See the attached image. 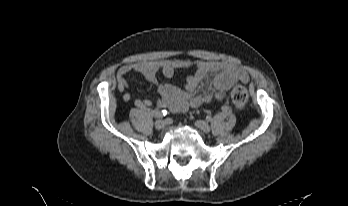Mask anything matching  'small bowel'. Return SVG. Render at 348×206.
Masks as SVG:
<instances>
[{"mask_svg": "<svg viewBox=\"0 0 348 206\" xmlns=\"http://www.w3.org/2000/svg\"><path fill=\"white\" fill-rule=\"evenodd\" d=\"M176 68L193 69L186 81L185 87L159 82L157 75L161 73L165 78H171ZM138 73L146 80L157 85L160 98L158 109H169L173 112H185L189 108H197L223 100L232 85L236 82L248 83L250 80L247 71L240 65L220 61L161 60L140 61L128 63L117 71V86L124 92L123 100L128 102L131 94L127 92V75ZM213 75L202 92L200 87L203 81ZM152 102L148 99H136L134 105L141 110H148Z\"/></svg>", "mask_w": 348, "mask_h": 206, "instance_id": "obj_1", "label": "small bowel"}]
</instances>
